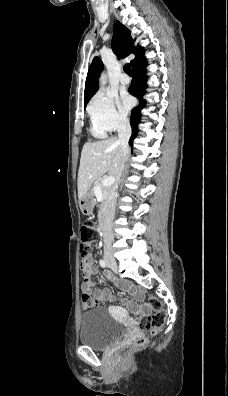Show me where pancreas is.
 Returning <instances> with one entry per match:
<instances>
[{
  "mask_svg": "<svg viewBox=\"0 0 228 396\" xmlns=\"http://www.w3.org/2000/svg\"><path fill=\"white\" fill-rule=\"evenodd\" d=\"M102 179H98L94 182V186L92 188L93 194L95 196H97L99 193L102 195V203L100 205V211H99V218L101 219L107 204H108V198L110 197L111 193H112V187L110 186H103L102 185Z\"/></svg>",
  "mask_w": 228,
  "mask_h": 396,
  "instance_id": "obj_1",
  "label": "pancreas"
}]
</instances>
